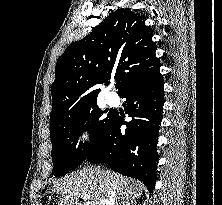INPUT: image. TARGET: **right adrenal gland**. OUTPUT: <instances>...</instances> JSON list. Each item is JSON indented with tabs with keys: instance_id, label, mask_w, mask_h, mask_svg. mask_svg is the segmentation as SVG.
Masks as SVG:
<instances>
[{
	"instance_id": "1",
	"label": "right adrenal gland",
	"mask_w": 222,
	"mask_h": 205,
	"mask_svg": "<svg viewBox=\"0 0 222 205\" xmlns=\"http://www.w3.org/2000/svg\"><path fill=\"white\" fill-rule=\"evenodd\" d=\"M116 205H130V203H129V200L123 198V199H120L118 203H116Z\"/></svg>"
}]
</instances>
